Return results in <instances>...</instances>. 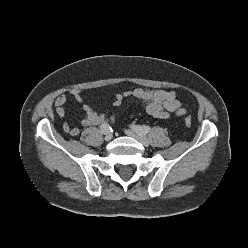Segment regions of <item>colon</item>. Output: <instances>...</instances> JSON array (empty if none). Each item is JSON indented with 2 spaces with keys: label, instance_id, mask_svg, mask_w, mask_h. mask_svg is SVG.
<instances>
[{
  "label": "colon",
  "instance_id": "obj_1",
  "mask_svg": "<svg viewBox=\"0 0 248 248\" xmlns=\"http://www.w3.org/2000/svg\"><path fill=\"white\" fill-rule=\"evenodd\" d=\"M184 122H185V125L188 127L192 125V120L189 116L185 117Z\"/></svg>",
  "mask_w": 248,
  "mask_h": 248
}]
</instances>
